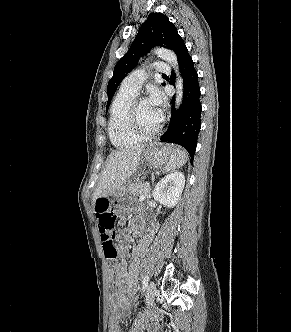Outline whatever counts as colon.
<instances>
[{"mask_svg": "<svg viewBox=\"0 0 291 332\" xmlns=\"http://www.w3.org/2000/svg\"><path fill=\"white\" fill-rule=\"evenodd\" d=\"M96 216L104 255L107 259L114 260L118 256L115 244L116 215L106 199H100L97 201ZM109 332H121L119 318L116 315H113L110 319Z\"/></svg>", "mask_w": 291, "mask_h": 332, "instance_id": "5ec220e1", "label": "colon"}]
</instances>
